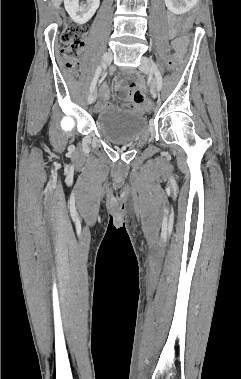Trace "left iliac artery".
Masks as SVG:
<instances>
[{"instance_id":"obj_1","label":"left iliac artery","mask_w":241,"mask_h":379,"mask_svg":"<svg viewBox=\"0 0 241 379\" xmlns=\"http://www.w3.org/2000/svg\"><path fill=\"white\" fill-rule=\"evenodd\" d=\"M151 69L154 72L156 80H157V89L158 91H160L162 88V76H161L160 70L158 69L155 63L152 64Z\"/></svg>"}]
</instances>
